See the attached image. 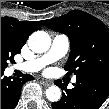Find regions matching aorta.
Wrapping results in <instances>:
<instances>
[{
    "label": "aorta",
    "instance_id": "762f6f07",
    "mask_svg": "<svg viewBox=\"0 0 109 109\" xmlns=\"http://www.w3.org/2000/svg\"><path fill=\"white\" fill-rule=\"evenodd\" d=\"M29 48L35 53L46 52L51 45V39L48 33L36 31L28 39ZM46 97L51 102H57L61 98V90L58 86H51L46 90Z\"/></svg>",
    "mask_w": 109,
    "mask_h": 109
}]
</instances>
